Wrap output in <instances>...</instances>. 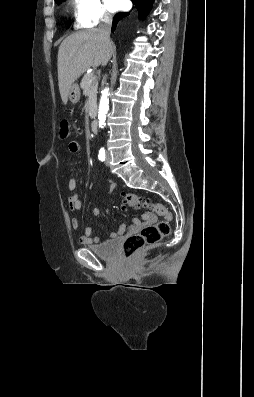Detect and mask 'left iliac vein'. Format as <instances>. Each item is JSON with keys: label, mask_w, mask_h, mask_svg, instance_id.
Instances as JSON below:
<instances>
[{"label": "left iliac vein", "mask_w": 254, "mask_h": 397, "mask_svg": "<svg viewBox=\"0 0 254 397\" xmlns=\"http://www.w3.org/2000/svg\"><path fill=\"white\" fill-rule=\"evenodd\" d=\"M110 159H111L110 153L107 152V154H106V161H105V165H106V166H109V164H110Z\"/></svg>", "instance_id": "4c4485c4"}]
</instances>
